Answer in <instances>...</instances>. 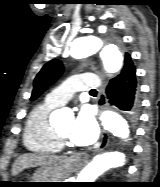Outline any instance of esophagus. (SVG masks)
<instances>
[{
  "instance_id": "esophagus-1",
  "label": "esophagus",
  "mask_w": 160,
  "mask_h": 187,
  "mask_svg": "<svg viewBox=\"0 0 160 187\" xmlns=\"http://www.w3.org/2000/svg\"><path fill=\"white\" fill-rule=\"evenodd\" d=\"M108 139H104L102 137L101 139V142L99 143V145H96L95 148H94V152H97V151H101L103 149H105L108 145ZM89 154L87 153H79V154H75L72 156V160L75 162V163H78V164H85L89 161Z\"/></svg>"
}]
</instances>
